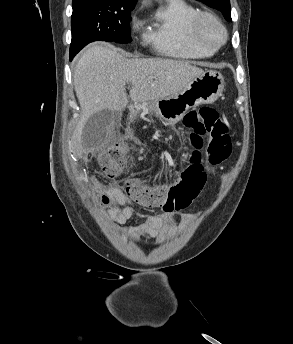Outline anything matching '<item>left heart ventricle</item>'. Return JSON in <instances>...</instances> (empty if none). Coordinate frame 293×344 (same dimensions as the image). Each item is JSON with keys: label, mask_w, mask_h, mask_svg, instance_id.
<instances>
[{"label": "left heart ventricle", "mask_w": 293, "mask_h": 344, "mask_svg": "<svg viewBox=\"0 0 293 344\" xmlns=\"http://www.w3.org/2000/svg\"><path fill=\"white\" fill-rule=\"evenodd\" d=\"M204 35L209 43H215L220 38L219 30L211 24L204 27Z\"/></svg>", "instance_id": "left-heart-ventricle-1"}]
</instances>
